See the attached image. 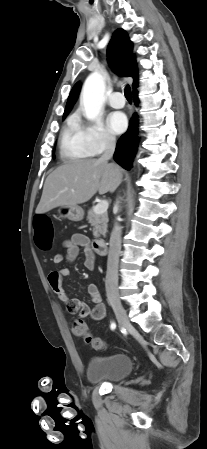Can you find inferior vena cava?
I'll return each instance as SVG.
<instances>
[{
	"label": "inferior vena cava",
	"instance_id": "inferior-vena-cava-1",
	"mask_svg": "<svg viewBox=\"0 0 207 449\" xmlns=\"http://www.w3.org/2000/svg\"><path fill=\"white\" fill-rule=\"evenodd\" d=\"M115 145V138L113 136H108L106 138L105 151L100 160L107 161L111 159L115 151ZM121 232L122 228L115 222L110 237V248L107 261V274L105 280L107 296L112 294L118 296V263L121 252Z\"/></svg>",
	"mask_w": 207,
	"mask_h": 449
}]
</instances>
